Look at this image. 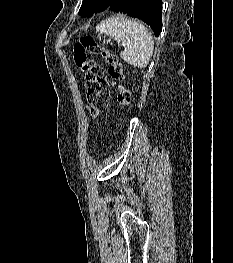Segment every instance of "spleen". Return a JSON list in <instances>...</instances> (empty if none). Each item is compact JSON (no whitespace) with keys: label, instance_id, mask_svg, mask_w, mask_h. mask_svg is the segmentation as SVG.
<instances>
[{"label":"spleen","instance_id":"3e777b00","mask_svg":"<svg viewBox=\"0 0 233 263\" xmlns=\"http://www.w3.org/2000/svg\"><path fill=\"white\" fill-rule=\"evenodd\" d=\"M96 31L122 42L121 58L137 68L148 66L154 50L151 33L141 23L125 15H117L101 21Z\"/></svg>","mask_w":233,"mask_h":263}]
</instances>
